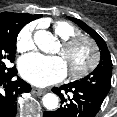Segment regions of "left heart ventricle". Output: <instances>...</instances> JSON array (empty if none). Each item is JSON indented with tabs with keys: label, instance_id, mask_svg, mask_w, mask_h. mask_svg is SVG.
Masks as SVG:
<instances>
[{
	"label": "left heart ventricle",
	"instance_id": "left-heart-ventricle-1",
	"mask_svg": "<svg viewBox=\"0 0 117 117\" xmlns=\"http://www.w3.org/2000/svg\"><path fill=\"white\" fill-rule=\"evenodd\" d=\"M59 54L62 56L68 68L75 69H78L85 65L90 57L89 48L85 44L80 45L75 51H73L68 56H64L62 54V49H60Z\"/></svg>",
	"mask_w": 117,
	"mask_h": 117
}]
</instances>
